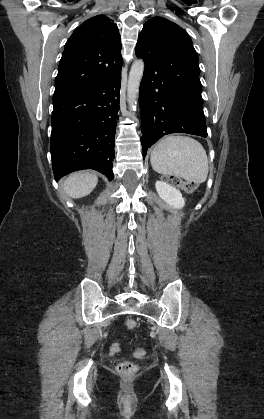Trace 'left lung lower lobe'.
<instances>
[{
    "label": "left lung lower lobe",
    "mask_w": 264,
    "mask_h": 419,
    "mask_svg": "<svg viewBox=\"0 0 264 419\" xmlns=\"http://www.w3.org/2000/svg\"><path fill=\"white\" fill-rule=\"evenodd\" d=\"M136 55L145 62L139 90L143 156L152 144L167 134L207 137L200 80L185 81L163 75L156 48L139 51Z\"/></svg>",
    "instance_id": "0a47b994"
}]
</instances>
